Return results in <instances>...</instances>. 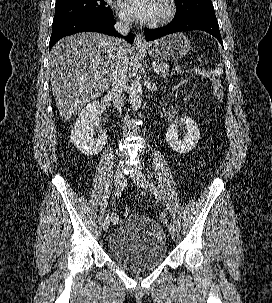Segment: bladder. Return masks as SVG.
Returning <instances> with one entry per match:
<instances>
[{"label":"bladder","instance_id":"31cf9c89","mask_svg":"<svg viewBox=\"0 0 272 303\" xmlns=\"http://www.w3.org/2000/svg\"><path fill=\"white\" fill-rule=\"evenodd\" d=\"M106 252L119 266L135 271L157 268L167 257L168 246L162 227L145 215H128L110 234Z\"/></svg>","mask_w":272,"mask_h":303}]
</instances>
